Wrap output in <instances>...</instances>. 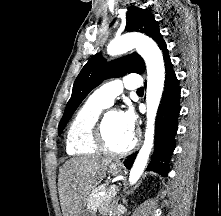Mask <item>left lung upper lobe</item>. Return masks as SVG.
I'll return each mask as SVG.
<instances>
[{
	"label": "left lung upper lobe",
	"instance_id": "1",
	"mask_svg": "<svg viewBox=\"0 0 221 216\" xmlns=\"http://www.w3.org/2000/svg\"><path fill=\"white\" fill-rule=\"evenodd\" d=\"M127 23L125 29L129 32L137 31L154 39L160 47L165 41L160 33L157 21L147 9L137 7L129 8L126 13ZM145 71L144 60L137 53H132L110 63L101 56L94 55L83 67L77 76L71 98L69 99L64 115L59 123L58 135L65 128L74 111L91 90L100 85L103 80L112 77L123 76L127 73H143Z\"/></svg>",
	"mask_w": 221,
	"mask_h": 216
}]
</instances>
